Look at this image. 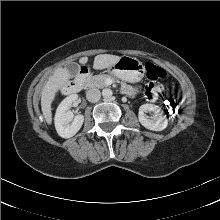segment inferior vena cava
Segmentation results:
<instances>
[{
  "instance_id": "1",
  "label": "inferior vena cava",
  "mask_w": 220,
  "mask_h": 220,
  "mask_svg": "<svg viewBox=\"0 0 220 220\" xmlns=\"http://www.w3.org/2000/svg\"><path fill=\"white\" fill-rule=\"evenodd\" d=\"M101 97V92L100 90L96 88L89 89L86 92V98L89 102H97Z\"/></svg>"
}]
</instances>
